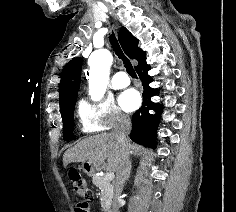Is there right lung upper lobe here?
Instances as JSON below:
<instances>
[{
    "label": "right lung upper lobe",
    "instance_id": "1",
    "mask_svg": "<svg viewBox=\"0 0 236 212\" xmlns=\"http://www.w3.org/2000/svg\"><path fill=\"white\" fill-rule=\"evenodd\" d=\"M118 38L129 58L136 59L138 63L145 59V52L138 48V40L125 27L120 29ZM81 69L82 62L80 57L73 58L65 65L60 81V109L65 106L67 101L77 98Z\"/></svg>",
    "mask_w": 236,
    "mask_h": 212
}]
</instances>
